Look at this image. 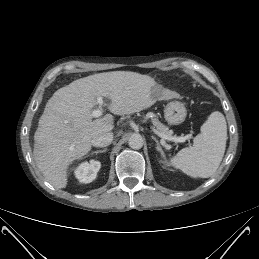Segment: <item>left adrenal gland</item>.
<instances>
[{"label":"left adrenal gland","instance_id":"a2214340","mask_svg":"<svg viewBox=\"0 0 259 259\" xmlns=\"http://www.w3.org/2000/svg\"><path fill=\"white\" fill-rule=\"evenodd\" d=\"M152 139L156 142V145H157L156 150L161 154V157L165 160L166 159L165 154H164V151L159 144V141L154 136H152Z\"/></svg>","mask_w":259,"mask_h":259}]
</instances>
